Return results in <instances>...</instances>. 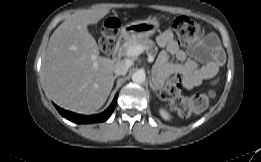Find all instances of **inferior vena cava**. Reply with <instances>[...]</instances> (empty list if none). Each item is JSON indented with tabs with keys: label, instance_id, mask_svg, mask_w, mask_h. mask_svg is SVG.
Returning a JSON list of instances; mask_svg holds the SVG:
<instances>
[{
	"label": "inferior vena cava",
	"instance_id": "602c4592",
	"mask_svg": "<svg viewBox=\"0 0 261 162\" xmlns=\"http://www.w3.org/2000/svg\"><path fill=\"white\" fill-rule=\"evenodd\" d=\"M130 66H131V62L129 61H124V60L117 61L114 64L113 72L118 76L125 75Z\"/></svg>",
	"mask_w": 261,
	"mask_h": 162
}]
</instances>
